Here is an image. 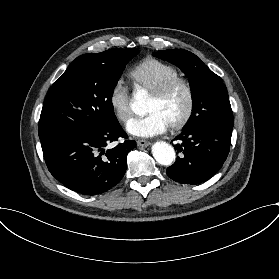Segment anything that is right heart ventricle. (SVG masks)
Segmentation results:
<instances>
[{"mask_svg":"<svg viewBox=\"0 0 279 279\" xmlns=\"http://www.w3.org/2000/svg\"><path fill=\"white\" fill-rule=\"evenodd\" d=\"M130 74L138 86L154 92L168 79L180 76V71L170 63L148 58L138 63Z\"/></svg>","mask_w":279,"mask_h":279,"instance_id":"e07e8e85","label":"right heart ventricle"}]
</instances>
